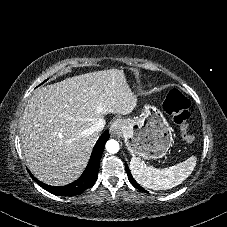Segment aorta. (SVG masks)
Listing matches in <instances>:
<instances>
[{
    "instance_id": "aorta-1",
    "label": "aorta",
    "mask_w": 227,
    "mask_h": 227,
    "mask_svg": "<svg viewBox=\"0 0 227 227\" xmlns=\"http://www.w3.org/2000/svg\"><path fill=\"white\" fill-rule=\"evenodd\" d=\"M119 148V143L116 140L111 139L106 143V150L111 154L117 153L119 151Z\"/></svg>"
}]
</instances>
